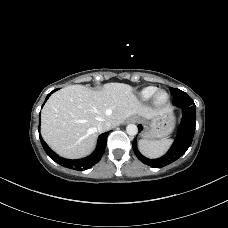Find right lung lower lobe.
<instances>
[{
  "mask_svg": "<svg viewBox=\"0 0 228 228\" xmlns=\"http://www.w3.org/2000/svg\"><path fill=\"white\" fill-rule=\"evenodd\" d=\"M54 91H56V90H53L51 93L48 94V96L46 97V100L49 98V96ZM46 100H45V102H46ZM108 134H109V132H105L99 136L98 142H97V148L90 156L83 158V159H78V160H69V159H65V158L58 156L56 153H54L48 147V145L45 143V141L42 139L41 136H40V140H41V144H42L45 152L47 153V155L51 159H53L56 163H58L64 167L82 171V170L91 168L94 164H96L102 158L103 153L105 151Z\"/></svg>",
  "mask_w": 228,
  "mask_h": 228,
  "instance_id": "right-lung-lower-lobe-1",
  "label": "right lung lower lobe"
}]
</instances>
